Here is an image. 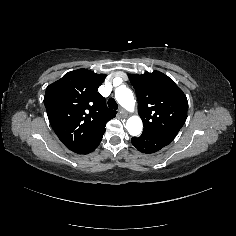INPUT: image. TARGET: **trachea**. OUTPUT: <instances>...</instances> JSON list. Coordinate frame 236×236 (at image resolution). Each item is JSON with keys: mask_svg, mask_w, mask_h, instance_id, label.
Returning <instances> with one entry per match:
<instances>
[{"mask_svg": "<svg viewBox=\"0 0 236 236\" xmlns=\"http://www.w3.org/2000/svg\"><path fill=\"white\" fill-rule=\"evenodd\" d=\"M108 106H109V108H111L113 110H117V108H118L117 102L115 101L114 98H109Z\"/></svg>", "mask_w": 236, "mask_h": 236, "instance_id": "3493384b", "label": "trachea"}]
</instances>
